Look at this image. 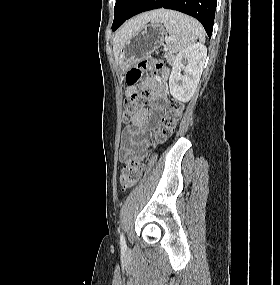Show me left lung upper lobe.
Here are the masks:
<instances>
[{
  "instance_id": "left-lung-upper-lobe-1",
  "label": "left lung upper lobe",
  "mask_w": 280,
  "mask_h": 285,
  "mask_svg": "<svg viewBox=\"0 0 280 285\" xmlns=\"http://www.w3.org/2000/svg\"><path fill=\"white\" fill-rule=\"evenodd\" d=\"M138 2L139 0H116L112 30H116L129 19L132 10Z\"/></svg>"
}]
</instances>
